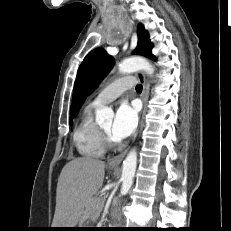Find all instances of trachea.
Segmentation results:
<instances>
[{"instance_id":"3493384b","label":"trachea","mask_w":231,"mask_h":231,"mask_svg":"<svg viewBox=\"0 0 231 231\" xmlns=\"http://www.w3.org/2000/svg\"><path fill=\"white\" fill-rule=\"evenodd\" d=\"M136 91L142 92V85H137L136 86Z\"/></svg>"}]
</instances>
